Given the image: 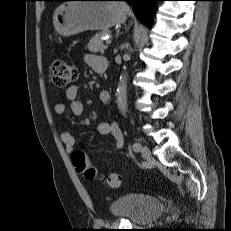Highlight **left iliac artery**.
Returning <instances> with one entry per match:
<instances>
[{
    "label": "left iliac artery",
    "instance_id": "obj_1",
    "mask_svg": "<svg viewBox=\"0 0 231 231\" xmlns=\"http://www.w3.org/2000/svg\"><path fill=\"white\" fill-rule=\"evenodd\" d=\"M140 149H141V144L140 143L133 144V150L135 152H138Z\"/></svg>",
    "mask_w": 231,
    "mask_h": 231
}]
</instances>
